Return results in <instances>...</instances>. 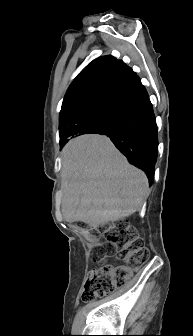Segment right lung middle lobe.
Listing matches in <instances>:
<instances>
[{
	"instance_id": "1",
	"label": "right lung middle lobe",
	"mask_w": 193,
	"mask_h": 336,
	"mask_svg": "<svg viewBox=\"0 0 193 336\" xmlns=\"http://www.w3.org/2000/svg\"><path fill=\"white\" fill-rule=\"evenodd\" d=\"M111 109L100 110L94 114L84 116L76 120L71 127L74 133H98L104 126Z\"/></svg>"
}]
</instances>
